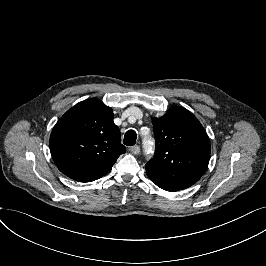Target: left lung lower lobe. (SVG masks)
<instances>
[{
    "label": "left lung lower lobe",
    "mask_w": 266,
    "mask_h": 266,
    "mask_svg": "<svg viewBox=\"0 0 266 266\" xmlns=\"http://www.w3.org/2000/svg\"><path fill=\"white\" fill-rule=\"evenodd\" d=\"M149 178L160 188L166 190V191H178V190H183L185 188L170 184L168 182H165L163 180H160L156 177L149 176Z\"/></svg>",
    "instance_id": "1"
}]
</instances>
